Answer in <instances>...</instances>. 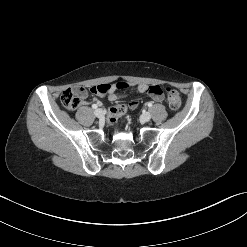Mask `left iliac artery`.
I'll return each mask as SVG.
<instances>
[{
	"label": "left iliac artery",
	"mask_w": 247,
	"mask_h": 247,
	"mask_svg": "<svg viewBox=\"0 0 247 247\" xmlns=\"http://www.w3.org/2000/svg\"><path fill=\"white\" fill-rule=\"evenodd\" d=\"M148 107H152V103L151 102L148 103Z\"/></svg>",
	"instance_id": "44dca946"
}]
</instances>
